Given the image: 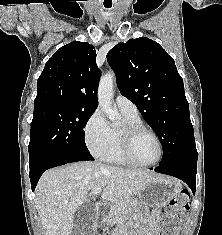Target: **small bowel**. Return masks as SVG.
<instances>
[{
  "instance_id": "1",
  "label": "small bowel",
  "mask_w": 222,
  "mask_h": 235,
  "mask_svg": "<svg viewBox=\"0 0 222 235\" xmlns=\"http://www.w3.org/2000/svg\"><path fill=\"white\" fill-rule=\"evenodd\" d=\"M158 218L159 212L154 211L146 224L145 235H158ZM115 235H125L124 229L117 232Z\"/></svg>"
}]
</instances>
